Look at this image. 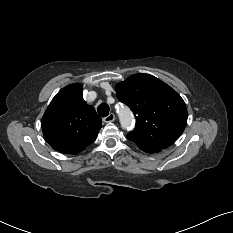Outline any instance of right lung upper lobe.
Segmentation results:
<instances>
[{"label":"right lung upper lobe","instance_id":"obj_1","mask_svg":"<svg viewBox=\"0 0 233 233\" xmlns=\"http://www.w3.org/2000/svg\"><path fill=\"white\" fill-rule=\"evenodd\" d=\"M81 84L63 88L47 107L42 131L50 146L61 153H77L92 143L102 127L101 118L82 96Z\"/></svg>","mask_w":233,"mask_h":233}]
</instances>
